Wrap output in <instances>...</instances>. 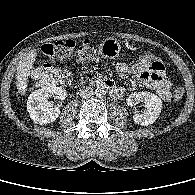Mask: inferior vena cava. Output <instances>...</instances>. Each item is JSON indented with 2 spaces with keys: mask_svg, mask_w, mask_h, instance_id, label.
Segmentation results:
<instances>
[{
  "mask_svg": "<svg viewBox=\"0 0 195 195\" xmlns=\"http://www.w3.org/2000/svg\"><path fill=\"white\" fill-rule=\"evenodd\" d=\"M92 95H94V92L91 87H84L80 90V96L84 99L90 98Z\"/></svg>",
  "mask_w": 195,
  "mask_h": 195,
  "instance_id": "602c4592",
  "label": "inferior vena cava"
}]
</instances>
